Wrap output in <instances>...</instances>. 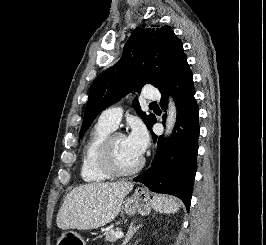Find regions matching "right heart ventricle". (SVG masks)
I'll use <instances>...</instances> for the list:
<instances>
[{"label": "right heart ventricle", "mask_w": 266, "mask_h": 245, "mask_svg": "<svg viewBox=\"0 0 266 245\" xmlns=\"http://www.w3.org/2000/svg\"><path fill=\"white\" fill-rule=\"evenodd\" d=\"M112 130L113 127L110 125L97 121L85 140L80 162V177L86 184L99 185L110 180V177L104 174L98 166L97 151L104 138Z\"/></svg>", "instance_id": "1"}]
</instances>
